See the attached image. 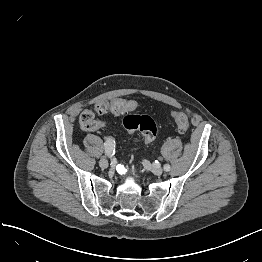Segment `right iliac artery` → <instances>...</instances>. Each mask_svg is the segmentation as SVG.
<instances>
[{
	"instance_id": "right-iliac-artery-1",
	"label": "right iliac artery",
	"mask_w": 262,
	"mask_h": 262,
	"mask_svg": "<svg viewBox=\"0 0 262 262\" xmlns=\"http://www.w3.org/2000/svg\"><path fill=\"white\" fill-rule=\"evenodd\" d=\"M105 154L112 157L115 154V140L112 137H107L104 143Z\"/></svg>"
}]
</instances>
